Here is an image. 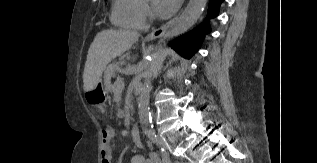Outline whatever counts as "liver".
I'll return each instance as SVG.
<instances>
[{
	"mask_svg": "<svg viewBox=\"0 0 317 163\" xmlns=\"http://www.w3.org/2000/svg\"><path fill=\"white\" fill-rule=\"evenodd\" d=\"M140 34L128 30L107 29L95 36L88 50L83 72L84 91L92 90L100 81L107 64L129 50Z\"/></svg>",
	"mask_w": 317,
	"mask_h": 163,
	"instance_id": "liver-1",
	"label": "liver"
}]
</instances>
